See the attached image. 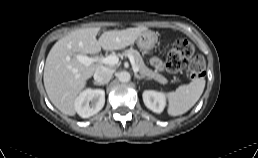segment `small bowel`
Masks as SVG:
<instances>
[{
  "mask_svg": "<svg viewBox=\"0 0 258 158\" xmlns=\"http://www.w3.org/2000/svg\"><path fill=\"white\" fill-rule=\"evenodd\" d=\"M151 62H152V65L155 66L157 69L163 68V63L159 58H153Z\"/></svg>",
  "mask_w": 258,
  "mask_h": 158,
  "instance_id": "c3829d8e",
  "label": "small bowel"
}]
</instances>
